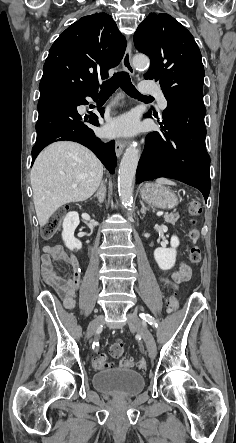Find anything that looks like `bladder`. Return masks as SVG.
Returning a JSON list of instances; mask_svg holds the SVG:
<instances>
[{
    "mask_svg": "<svg viewBox=\"0 0 236 443\" xmlns=\"http://www.w3.org/2000/svg\"><path fill=\"white\" fill-rule=\"evenodd\" d=\"M92 381L97 391L117 397H132L145 385L144 376L129 368L98 372Z\"/></svg>",
    "mask_w": 236,
    "mask_h": 443,
    "instance_id": "1",
    "label": "bladder"
}]
</instances>
